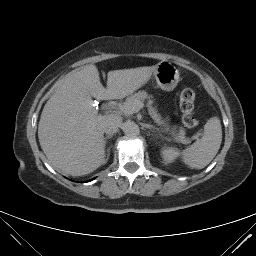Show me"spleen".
I'll return each mask as SVG.
<instances>
[{
    "instance_id": "spleen-1",
    "label": "spleen",
    "mask_w": 256,
    "mask_h": 256,
    "mask_svg": "<svg viewBox=\"0 0 256 256\" xmlns=\"http://www.w3.org/2000/svg\"><path fill=\"white\" fill-rule=\"evenodd\" d=\"M196 135L200 136L201 133ZM221 142L222 128L220 120L218 117H212L204 125L202 138H197L196 142L183 151L182 161L191 169H202L215 157Z\"/></svg>"
}]
</instances>
